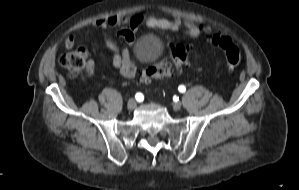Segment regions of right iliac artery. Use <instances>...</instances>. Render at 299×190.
<instances>
[{
    "label": "right iliac artery",
    "mask_w": 299,
    "mask_h": 190,
    "mask_svg": "<svg viewBox=\"0 0 299 190\" xmlns=\"http://www.w3.org/2000/svg\"><path fill=\"white\" fill-rule=\"evenodd\" d=\"M135 98H136L137 101H142L144 97H143V95L141 93H137L135 95Z\"/></svg>",
    "instance_id": "82829eb1"
}]
</instances>
